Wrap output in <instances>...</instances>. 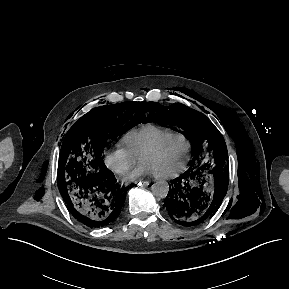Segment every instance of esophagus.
Returning a JSON list of instances; mask_svg holds the SVG:
<instances>
[{
  "mask_svg": "<svg viewBox=\"0 0 289 289\" xmlns=\"http://www.w3.org/2000/svg\"><path fill=\"white\" fill-rule=\"evenodd\" d=\"M138 185L148 186L150 184L149 181L141 180L137 182Z\"/></svg>",
  "mask_w": 289,
  "mask_h": 289,
  "instance_id": "esophagus-1",
  "label": "esophagus"
}]
</instances>
